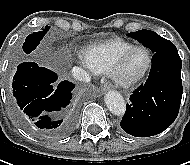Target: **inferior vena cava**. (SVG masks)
Segmentation results:
<instances>
[{"mask_svg":"<svg viewBox=\"0 0 190 165\" xmlns=\"http://www.w3.org/2000/svg\"><path fill=\"white\" fill-rule=\"evenodd\" d=\"M72 74L76 80L83 81V82H89L90 76L89 74L80 67H73Z\"/></svg>","mask_w":190,"mask_h":165,"instance_id":"inferior-vena-cava-1","label":"inferior vena cava"}]
</instances>
